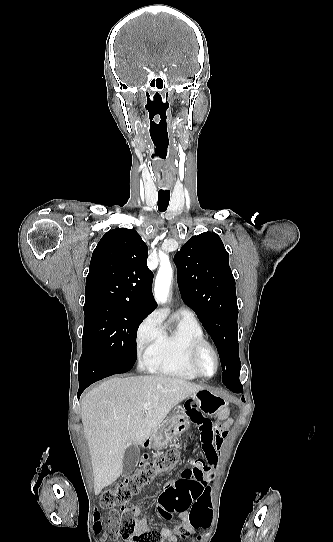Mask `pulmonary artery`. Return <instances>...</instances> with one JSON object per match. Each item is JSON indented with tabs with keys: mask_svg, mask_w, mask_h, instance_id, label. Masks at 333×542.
Here are the masks:
<instances>
[{
	"mask_svg": "<svg viewBox=\"0 0 333 542\" xmlns=\"http://www.w3.org/2000/svg\"><path fill=\"white\" fill-rule=\"evenodd\" d=\"M178 313L183 314L184 316H186L188 318H195L194 311L189 307L183 306V307L179 308Z\"/></svg>",
	"mask_w": 333,
	"mask_h": 542,
	"instance_id": "1",
	"label": "pulmonary artery"
}]
</instances>
